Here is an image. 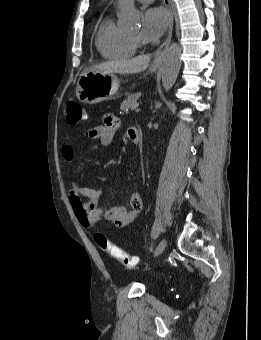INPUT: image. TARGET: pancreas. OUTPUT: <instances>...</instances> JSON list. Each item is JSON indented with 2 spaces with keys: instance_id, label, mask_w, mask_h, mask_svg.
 Wrapping results in <instances>:
<instances>
[{
  "instance_id": "obj_1",
  "label": "pancreas",
  "mask_w": 261,
  "mask_h": 340,
  "mask_svg": "<svg viewBox=\"0 0 261 340\" xmlns=\"http://www.w3.org/2000/svg\"><path fill=\"white\" fill-rule=\"evenodd\" d=\"M141 93L128 94L127 98L121 104V110L125 113L129 112V109H135V105L137 104V100L140 98Z\"/></svg>"
}]
</instances>
